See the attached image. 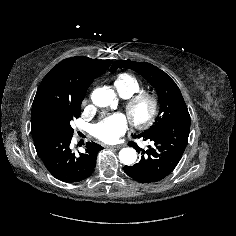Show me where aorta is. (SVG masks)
<instances>
[{
  "label": "aorta",
  "mask_w": 236,
  "mask_h": 236,
  "mask_svg": "<svg viewBox=\"0 0 236 236\" xmlns=\"http://www.w3.org/2000/svg\"><path fill=\"white\" fill-rule=\"evenodd\" d=\"M115 92L107 87L98 88L92 93V102L98 107H107L114 102ZM119 159L125 165L133 164L137 159V153L133 148H123L119 152Z\"/></svg>",
  "instance_id": "obj_1"
}]
</instances>
